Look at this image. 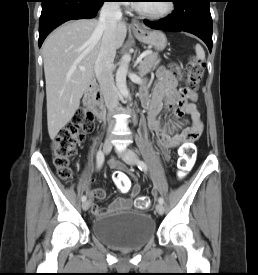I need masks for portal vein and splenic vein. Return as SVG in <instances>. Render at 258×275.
Returning <instances> with one entry per match:
<instances>
[{"label": "portal vein and splenic vein", "mask_w": 258, "mask_h": 275, "mask_svg": "<svg viewBox=\"0 0 258 275\" xmlns=\"http://www.w3.org/2000/svg\"><path fill=\"white\" fill-rule=\"evenodd\" d=\"M150 53H151V51H144V52L137 58L135 65H137L139 62H141L142 59H143L146 55H148V54H150ZM80 69H81L82 71L85 70L84 68H80Z\"/></svg>", "instance_id": "obj_1"}]
</instances>
